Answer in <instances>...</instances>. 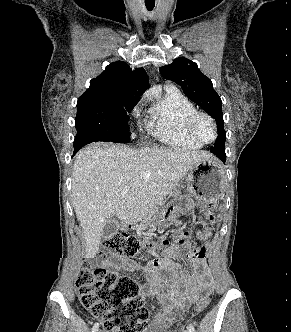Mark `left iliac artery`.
<instances>
[{
  "label": "left iliac artery",
  "mask_w": 291,
  "mask_h": 332,
  "mask_svg": "<svg viewBox=\"0 0 291 332\" xmlns=\"http://www.w3.org/2000/svg\"><path fill=\"white\" fill-rule=\"evenodd\" d=\"M187 328H188L189 332H195V329H194L193 325L189 324L187 326Z\"/></svg>",
  "instance_id": "1"
}]
</instances>
